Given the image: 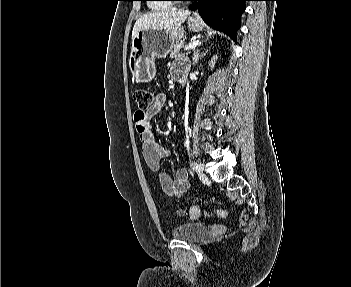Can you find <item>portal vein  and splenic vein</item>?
I'll list each match as a JSON object with an SVG mask.
<instances>
[{"instance_id": "obj_1", "label": "portal vein and splenic vein", "mask_w": 351, "mask_h": 287, "mask_svg": "<svg viewBox=\"0 0 351 287\" xmlns=\"http://www.w3.org/2000/svg\"><path fill=\"white\" fill-rule=\"evenodd\" d=\"M199 44H201V42L199 41H193L192 43H190L188 46L185 47V50H189V49H193L196 46H198Z\"/></svg>"}]
</instances>
